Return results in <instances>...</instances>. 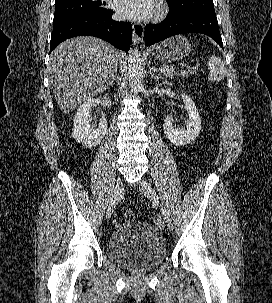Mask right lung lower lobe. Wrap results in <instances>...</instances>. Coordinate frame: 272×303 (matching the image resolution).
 Returning <instances> with one entry per match:
<instances>
[{
    "label": "right lung lower lobe",
    "instance_id": "right-lung-lower-lobe-1",
    "mask_svg": "<svg viewBox=\"0 0 272 303\" xmlns=\"http://www.w3.org/2000/svg\"><path fill=\"white\" fill-rule=\"evenodd\" d=\"M113 10L83 12L54 20L50 52L62 41L81 35L101 38L127 52L132 43V25L112 20Z\"/></svg>",
    "mask_w": 272,
    "mask_h": 303
}]
</instances>
